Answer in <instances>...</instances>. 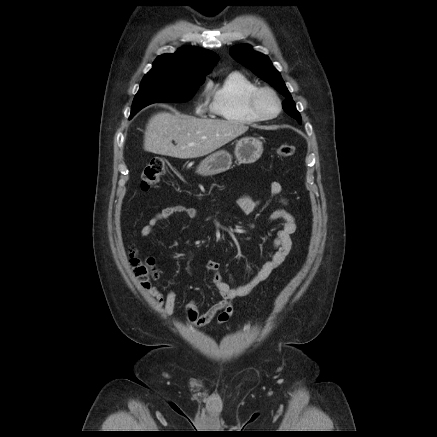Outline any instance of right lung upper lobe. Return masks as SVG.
Listing matches in <instances>:
<instances>
[{"label": "right lung upper lobe", "mask_w": 437, "mask_h": 437, "mask_svg": "<svg viewBox=\"0 0 437 437\" xmlns=\"http://www.w3.org/2000/svg\"><path fill=\"white\" fill-rule=\"evenodd\" d=\"M219 56L196 47H184L174 54L159 56L149 73H166L187 81L205 79Z\"/></svg>", "instance_id": "1"}]
</instances>
